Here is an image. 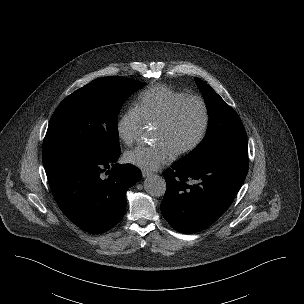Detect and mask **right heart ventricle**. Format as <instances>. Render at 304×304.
Wrapping results in <instances>:
<instances>
[{
    "label": "right heart ventricle",
    "mask_w": 304,
    "mask_h": 304,
    "mask_svg": "<svg viewBox=\"0 0 304 304\" xmlns=\"http://www.w3.org/2000/svg\"><path fill=\"white\" fill-rule=\"evenodd\" d=\"M186 96L165 85H155L145 89L138 96L135 107L140 112L144 123L157 124L170 106Z\"/></svg>",
    "instance_id": "1"
}]
</instances>
